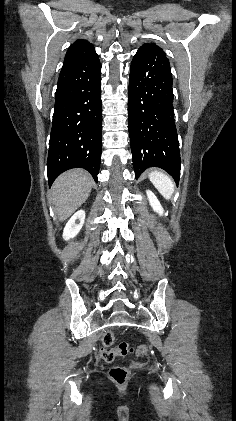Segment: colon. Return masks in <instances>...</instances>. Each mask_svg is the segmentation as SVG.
I'll use <instances>...</instances> for the list:
<instances>
[{
	"instance_id": "obj_1",
	"label": "colon",
	"mask_w": 236,
	"mask_h": 421,
	"mask_svg": "<svg viewBox=\"0 0 236 421\" xmlns=\"http://www.w3.org/2000/svg\"><path fill=\"white\" fill-rule=\"evenodd\" d=\"M114 343V334L112 331H107L102 337V351L101 356L105 361H113L117 356H125L129 353H134L137 356H146L148 354V345L143 343L138 346H131L129 343L122 342L117 347L112 348ZM110 377L117 383H124L130 376V371L126 367L115 366L110 369Z\"/></svg>"
}]
</instances>
